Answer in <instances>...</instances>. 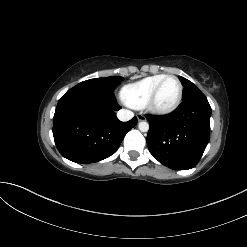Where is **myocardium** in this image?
I'll use <instances>...</instances> for the list:
<instances>
[{
  "label": "myocardium",
  "instance_id": "obj_1",
  "mask_svg": "<svg viewBox=\"0 0 247 247\" xmlns=\"http://www.w3.org/2000/svg\"><path fill=\"white\" fill-rule=\"evenodd\" d=\"M170 78L175 79L178 83V86H179L178 97H177L176 101L171 106H169L167 108H159L156 106V99H157L158 93H159L160 88L162 87L163 83ZM182 98H183V85H182V82L180 81V79L175 75H166L163 79H161L159 81V83L153 89L151 95L149 96V98L145 104V107L149 112H151L153 114L164 116V115H168V114L173 113L180 106V104L182 102Z\"/></svg>",
  "mask_w": 247,
  "mask_h": 247
}]
</instances>
